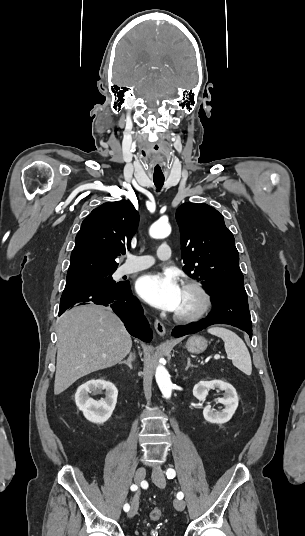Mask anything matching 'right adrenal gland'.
<instances>
[{"label": "right adrenal gland", "mask_w": 305, "mask_h": 536, "mask_svg": "<svg viewBox=\"0 0 305 536\" xmlns=\"http://www.w3.org/2000/svg\"><path fill=\"white\" fill-rule=\"evenodd\" d=\"M135 360V352H130L128 360H124L121 364H126L130 370H133L132 362Z\"/></svg>", "instance_id": "1"}]
</instances>
